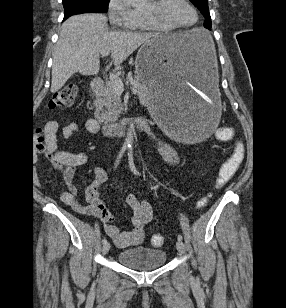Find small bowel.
<instances>
[{
  "label": "small bowel",
  "instance_id": "c3829d8e",
  "mask_svg": "<svg viewBox=\"0 0 286 308\" xmlns=\"http://www.w3.org/2000/svg\"><path fill=\"white\" fill-rule=\"evenodd\" d=\"M59 126L55 121L47 122L44 134L47 142L53 149L57 148V132ZM80 124L69 122L61 128V136L64 139H71L79 131ZM84 129L91 134H96L100 126L95 119L89 118L84 122ZM157 146L163 159L172 166L179 165V157L171 145L164 140H158ZM55 158L63 164L66 169L63 178L67 185V191L61 194L62 202L79 214L88 215L104 222L106 234L113 240L119 248H127L140 244L144 238V228L153 217L152 206L148 201H140L133 195L125 198L127 205L133 211L132 229L121 231L113 222L114 216L109 211L105 203L100 198V190L107 180V172L104 168L97 166L94 168V180L87 187L85 192L86 204H81L77 199V188L73 184L76 168L87 164L88 155L84 152H70L57 150Z\"/></svg>",
  "mask_w": 286,
  "mask_h": 308
}]
</instances>
